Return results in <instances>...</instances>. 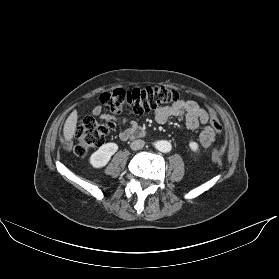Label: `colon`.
I'll return each instance as SVG.
<instances>
[{
    "instance_id": "5ec220e1",
    "label": "colon",
    "mask_w": 279,
    "mask_h": 279,
    "mask_svg": "<svg viewBox=\"0 0 279 279\" xmlns=\"http://www.w3.org/2000/svg\"><path fill=\"white\" fill-rule=\"evenodd\" d=\"M178 99L177 91L163 86L142 89L118 88L102 94L100 101L108 107L112 116L100 122L93 116H87L82 120L75 132V155L85 157L92 149L100 147L115 127L113 117L123 113L142 116L159 106L174 103ZM210 113V130L217 134L221 130V123L213 110H210Z\"/></svg>"
}]
</instances>
